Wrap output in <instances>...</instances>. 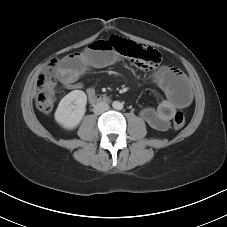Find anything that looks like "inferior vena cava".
Wrapping results in <instances>:
<instances>
[{
  "label": "inferior vena cava",
  "instance_id": "602c4592",
  "mask_svg": "<svg viewBox=\"0 0 227 227\" xmlns=\"http://www.w3.org/2000/svg\"><path fill=\"white\" fill-rule=\"evenodd\" d=\"M108 109H109V105L107 103L100 102V103H98V104H96L94 106L93 111H94L95 114H98L99 115V114L104 113Z\"/></svg>",
  "mask_w": 227,
  "mask_h": 227
}]
</instances>
